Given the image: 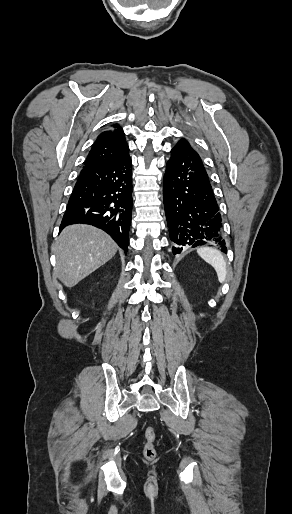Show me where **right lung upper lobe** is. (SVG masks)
<instances>
[{"instance_id": "cb5924a9", "label": "right lung upper lobe", "mask_w": 292, "mask_h": 514, "mask_svg": "<svg viewBox=\"0 0 292 514\" xmlns=\"http://www.w3.org/2000/svg\"><path fill=\"white\" fill-rule=\"evenodd\" d=\"M113 130L102 132L94 142L85 165H103L118 160L129 153L122 128L115 124Z\"/></svg>"}]
</instances>
